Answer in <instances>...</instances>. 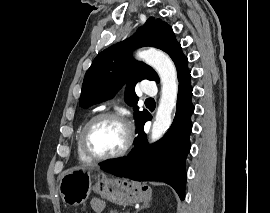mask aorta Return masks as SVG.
Here are the masks:
<instances>
[{
    "label": "aorta",
    "mask_w": 270,
    "mask_h": 213,
    "mask_svg": "<svg viewBox=\"0 0 270 213\" xmlns=\"http://www.w3.org/2000/svg\"><path fill=\"white\" fill-rule=\"evenodd\" d=\"M137 56L157 71L162 83L161 99L151 129V141L155 142L163 136L172 123L171 116L178 94L177 71L168 55L160 50L149 48L138 52Z\"/></svg>",
    "instance_id": "1"
}]
</instances>
